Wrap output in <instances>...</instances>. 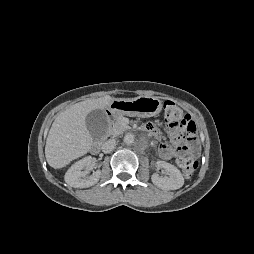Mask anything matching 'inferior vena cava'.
I'll use <instances>...</instances> for the list:
<instances>
[{
  "mask_svg": "<svg viewBox=\"0 0 254 254\" xmlns=\"http://www.w3.org/2000/svg\"><path fill=\"white\" fill-rule=\"evenodd\" d=\"M115 146L116 141L114 139H109L102 144V151L104 153H110L114 150Z\"/></svg>",
  "mask_w": 254,
  "mask_h": 254,
  "instance_id": "1",
  "label": "inferior vena cava"
}]
</instances>
